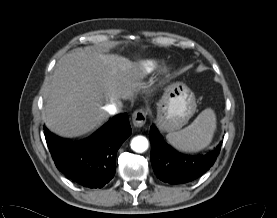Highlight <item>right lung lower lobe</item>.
I'll return each instance as SVG.
<instances>
[{
  "instance_id": "obj_1",
  "label": "right lung lower lobe",
  "mask_w": 277,
  "mask_h": 218,
  "mask_svg": "<svg viewBox=\"0 0 277 218\" xmlns=\"http://www.w3.org/2000/svg\"><path fill=\"white\" fill-rule=\"evenodd\" d=\"M44 131L56 167L89 188H102L114 177L116 153L132 132L127 114L111 119L92 136L78 142L60 139L46 128Z\"/></svg>"
}]
</instances>
